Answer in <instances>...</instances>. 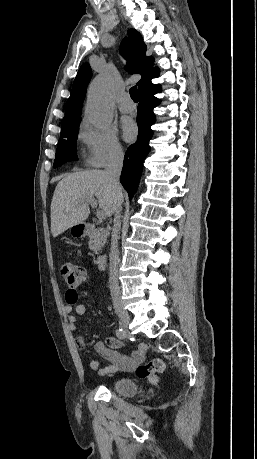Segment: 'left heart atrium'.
Listing matches in <instances>:
<instances>
[{
	"instance_id": "1",
	"label": "left heart atrium",
	"mask_w": 257,
	"mask_h": 459,
	"mask_svg": "<svg viewBox=\"0 0 257 459\" xmlns=\"http://www.w3.org/2000/svg\"><path fill=\"white\" fill-rule=\"evenodd\" d=\"M122 129H123V137L127 141L132 140L137 133L136 124L130 119H125L123 121Z\"/></svg>"
}]
</instances>
